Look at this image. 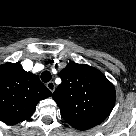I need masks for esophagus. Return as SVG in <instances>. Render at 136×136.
I'll return each instance as SVG.
<instances>
[{"instance_id":"obj_1","label":"esophagus","mask_w":136,"mask_h":136,"mask_svg":"<svg viewBox=\"0 0 136 136\" xmlns=\"http://www.w3.org/2000/svg\"><path fill=\"white\" fill-rule=\"evenodd\" d=\"M46 87L51 91L54 92L56 85L53 81H49L48 83H46Z\"/></svg>"}]
</instances>
